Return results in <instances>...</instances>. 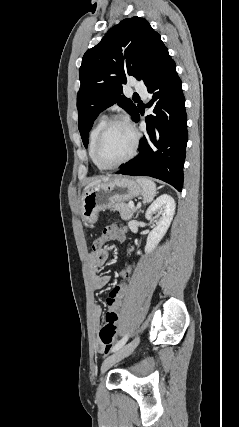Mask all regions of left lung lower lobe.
<instances>
[{"mask_svg": "<svg viewBox=\"0 0 239 427\" xmlns=\"http://www.w3.org/2000/svg\"><path fill=\"white\" fill-rule=\"evenodd\" d=\"M147 89L152 96L145 107L153 112L145 118L148 134L140 141L138 156L122 165L118 174L154 177L181 191L188 132L185 98L175 62H170ZM134 119L139 121V112Z\"/></svg>", "mask_w": 239, "mask_h": 427, "instance_id": "1", "label": "left lung lower lobe"}]
</instances>
